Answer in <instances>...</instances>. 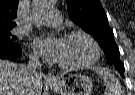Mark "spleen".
<instances>
[{"label":"spleen","mask_w":135,"mask_h":95,"mask_svg":"<svg viewBox=\"0 0 135 95\" xmlns=\"http://www.w3.org/2000/svg\"><path fill=\"white\" fill-rule=\"evenodd\" d=\"M94 71L103 79L106 87L104 95H125L119 80L108 70L102 67H95Z\"/></svg>","instance_id":"obj_1"}]
</instances>
